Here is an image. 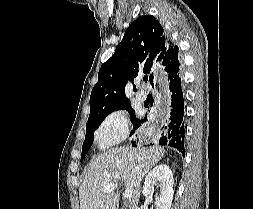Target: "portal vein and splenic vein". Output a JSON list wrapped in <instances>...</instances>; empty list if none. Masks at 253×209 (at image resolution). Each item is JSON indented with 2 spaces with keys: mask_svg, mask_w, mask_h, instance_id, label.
Here are the masks:
<instances>
[{
  "mask_svg": "<svg viewBox=\"0 0 253 209\" xmlns=\"http://www.w3.org/2000/svg\"><path fill=\"white\" fill-rule=\"evenodd\" d=\"M116 188H118V185L115 184V183L110 182V183H107V184H105V185L103 186L102 191L105 192V193H108V192H112V191L115 190ZM123 196H124V198H126V199H131V197H132V191L129 190V189H126V190L124 191V193H123Z\"/></svg>",
  "mask_w": 253,
  "mask_h": 209,
  "instance_id": "portal-vein-and-splenic-vein-1",
  "label": "portal vein and splenic vein"
}]
</instances>
